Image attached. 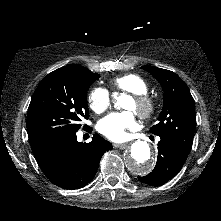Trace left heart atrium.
<instances>
[{
    "instance_id": "left-heart-atrium-1",
    "label": "left heart atrium",
    "mask_w": 221,
    "mask_h": 221,
    "mask_svg": "<svg viewBox=\"0 0 221 221\" xmlns=\"http://www.w3.org/2000/svg\"><path fill=\"white\" fill-rule=\"evenodd\" d=\"M137 126L132 112L111 113L102 118L98 123L99 132L113 141H121L126 138L128 130H134Z\"/></svg>"
}]
</instances>
